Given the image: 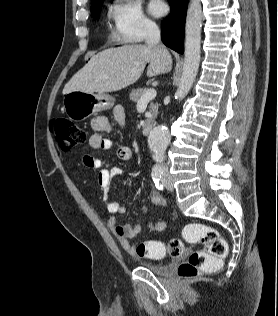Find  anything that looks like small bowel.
<instances>
[{
    "label": "small bowel",
    "instance_id": "c3829d8e",
    "mask_svg": "<svg viewBox=\"0 0 278 316\" xmlns=\"http://www.w3.org/2000/svg\"><path fill=\"white\" fill-rule=\"evenodd\" d=\"M113 116L119 127L125 125V112L121 105H116L113 109ZM91 127L94 131L89 138V146L94 150H109L113 148L114 142L103 136L102 133H109L113 129V124L105 116H96L91 121ZM116 156L122 161H129L133 157L132 149L126 145H120L116 149ZM83 164L94 170H98L97 181L103 192V200L107 211L110 213L107 219V227L114 235L120 246L129 254L138 255L137 247L132 242L146 228L149 232H162L166 227L163 218L157 221L148 222L145 226L141 222L126 223L119 225L115 217L116 214H123L125 207L115 200L109 198L110 186L114 178L123 174V169L118 166H110L104 160L92 155L84 154L82 156ZM149 204L154 206L166 205L165 200L155 191L149 194ZM147 207H143L141 213L144 214ZM139 256V255H138Z\"/></svg>",
    "mask_w": 278,
    "mask_h": 316
}]
</instances>
